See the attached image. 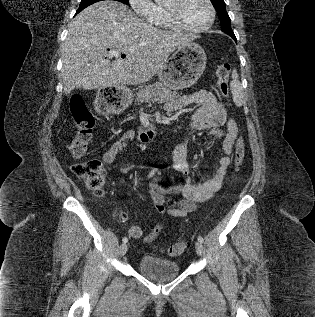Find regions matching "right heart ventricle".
Here are the masks:
<instances>
[{
    "mask_svg": "<svg viewBox=\"0 0 315 317\" xmlns=\"http://www.w3.org/2000/svg\"><path fill=\"white\" fill-rule=\"evenodd\" d=\"M150 21L153 25L160 28H173V25L170 23L167 17L165 6H156L154 16Z\"/></svg>",
    "mask_w": 315,
    "mask_h": 317,
    "instance_id": "obj_1",
    "label": "right heart ventricle"
}]
</instances>
